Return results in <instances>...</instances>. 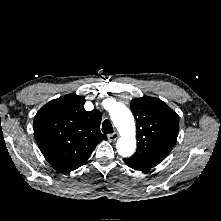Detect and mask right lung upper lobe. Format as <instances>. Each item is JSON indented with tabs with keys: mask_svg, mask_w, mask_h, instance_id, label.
<instances>
[{
	"mask_svg": "<svg viewBox=\"0 0 221 221\" xmlns=\"http://www.w3.org/2000/svg\"><path fill=\"white\" fill-rule=\"evenodd\" d=\"M85 98L69 94L44 105L34 117V135L46 160L69 173L82 166L106 135L100 132L102 115L86 111Z\"/></svg>",
	"mask_w": 221,
	"mask_h": 221,
	"instance_id": "1",
	"label": "right lung upper lobe"
}]
</instances>
